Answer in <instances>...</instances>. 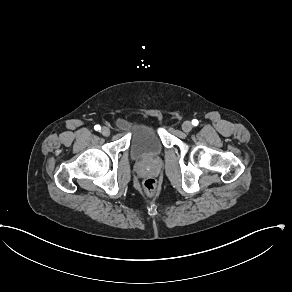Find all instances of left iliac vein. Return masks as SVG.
<instances>
[{
  "mask_svg": "<svg viewBox=\"0 0 292 292\" xmlns=\"http://www.w3.org/2000/svg\"><path fill=\"white\" fill-rule=\"evenodd\" d=\"M193 126L192 123L190 121H185L182 124V130L186 133L190 132L192 130Z\"/></svg>",
  "mask_w": 292,
  "mask_h": 292,
  "instance_id": "1",
  "label": "left iliac vein"
}]
</instances>
